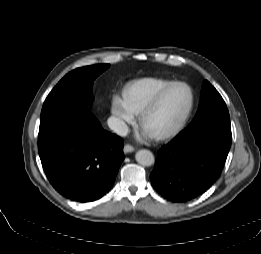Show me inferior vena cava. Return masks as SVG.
Masks as SVG:
<instances>
[{
    "label": "inferior vena cava",
    "mask_w": 261,
    "mask_h": 254,
    "mask_svg": "<svg viewBox=\"0 0 261 254\" xmlns=\"http://www.w3.org/2000/svg\"><path fill=\"white\" fill-rule=\"evenodd\" d=\"M107 123L109 128L119 136H126L129 131L127 124L117 117L111 116Z\"/></svg>",
    "instance_id": "1"
}]
</instances>
